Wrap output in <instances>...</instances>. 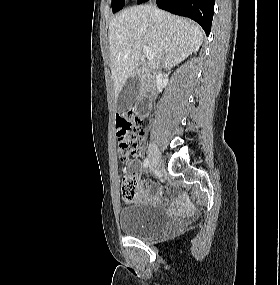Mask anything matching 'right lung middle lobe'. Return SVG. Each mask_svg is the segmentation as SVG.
I'll list each match as a JSON object with an SVG mask.
<instances>
[{
    "mask_svg": "<svg viewBox=\"0 0 280 285\" xmlns=\"http://www.w3.org/2000/svg\"><path fill=\"white\" fill-rule=\"evenodd\" d=\"M125 5V0H112V10L113 12H117L122 9Z\"/></svg>",
    "mask_w": 280,
    "mask_h": 285,
    "instance_id": "dd1d6c3e",
    "label": "right lung middle lobe"
}]
</instances>
